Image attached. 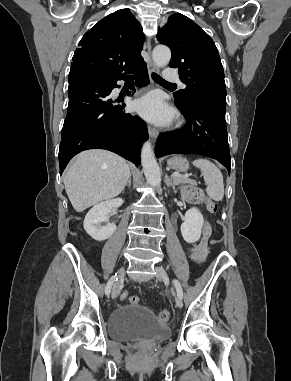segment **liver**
I'll list each match as a JSON object with an SVG mask.
<instances>
[{
	"label": "liver",
	"instance_id": "obj_1",
	"mask_svg": "<svg viewBox=\"0 0 291 381\" xmlns=\"http://www.w3.org/2000/svg\"><path fill=\"white\" fill-rule=\"evenodd\" d=\"M125 159L106 150L80 153L64 175L66 193L77 212L118 196L129 179Z\"/></svg>",
	"mask_w": 291,
	"mask_h": 381
}]
</instances>
